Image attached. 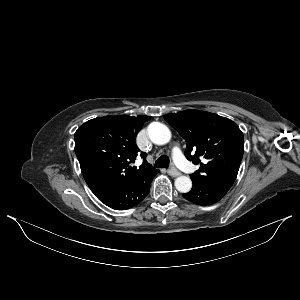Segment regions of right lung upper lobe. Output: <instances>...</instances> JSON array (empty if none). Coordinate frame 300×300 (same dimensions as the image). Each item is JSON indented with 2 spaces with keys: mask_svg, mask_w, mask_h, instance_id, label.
Wrapping results in <instances>:
<instances>
[{
  "mask_svg": "<svg viewBox=\"0 0 300 300\" xmlns=\"http://www.w3.org/2000/svg\"><path fill=\"white\" fill-rule=\"evenodd\" d=\"M150 116H105L91 119L75 132V153L83 177L94 194L111 190L129 181L158 173L139 153L136 135ZM143 158L139 169L132 167L136 157Z\"/></svg>",
  "mask_w": 300,
  "mask_h": 300,
  "instance_id": "obj_1",
  "label": "right lung upper lobe"
}]
</instances>
